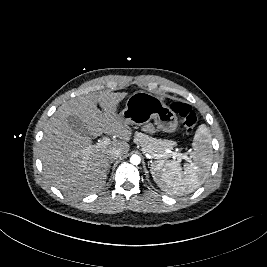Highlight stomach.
Wrapping results in <instances>:
<instances>
[{"label": "stomach", "instance_id": "obj_1", "mask_svg": "<svg viewBox=\"0 0 267 267\" xmlns=\"http://www.w3.org/2000/svg\"><path fill=\"white\" fill-rule=\"evenodd\" d=\"M118 117L128 124L144 125L154 120L157 129L165 133H173L178 126L176 114L153 94L138 91L129 96L125 109Z\"/></svg>", "mask_w": 267, "mask_h": 267}]
</instances>
